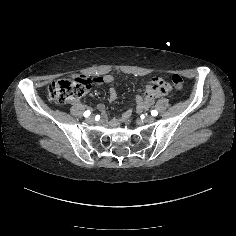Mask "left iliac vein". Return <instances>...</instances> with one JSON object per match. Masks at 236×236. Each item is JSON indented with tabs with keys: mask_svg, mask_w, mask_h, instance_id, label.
<instances>
[{
	"mask_svg": "<svg viewBox=\"0 0 236 236\" xmlns=\"http://www.w3.org/2000/svg\"><path fill=\"white\" fill-rule=\"evenodd\" d=\"M155 121V118L153 116H146L144 118V122L146 123H153Z\"/></svg>",
	"mask_w": 236,
	"mask_h": 236,
	"instance_id": "1",
	"label": "left iliac vein"
}]
</instances>
